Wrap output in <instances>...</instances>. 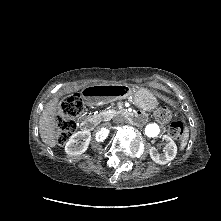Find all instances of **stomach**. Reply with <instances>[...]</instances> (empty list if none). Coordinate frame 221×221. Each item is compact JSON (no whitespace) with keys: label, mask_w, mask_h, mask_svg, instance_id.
<instances>
[{"label":"stomach","mask_w":221,"mask_h":221,"mask_svg":"<svg viewBox=\"0 0 221 221\" xmlns=\"http://www.w3.org/2000/svg\"><path fill=\"white\" fill-rule=\"evenodd\" d=\"M130 98H132L136 105L145 109H149L155 104L154 93L146 88H134Z\"/></svg>","instance_id":"obj_1"}]
</instances>
